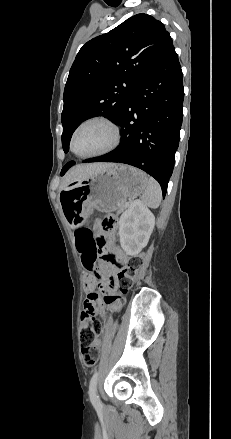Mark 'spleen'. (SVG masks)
<instances>
[{"label":"spleen","instance_id":"1","mask_svg":"<svg viewBox=\"0 0 231 439\" xmlns=\"http://www.w3.org/2000/svg\"><path fill=\"white\" fill-rule=\"evenodd\" d=\"M162 199V190L159 183L152 177L148 178V185L143 193L142 202L150 208H157Z\"/></svg>","mask_w":231,"mask_h":439}]
</instances>
